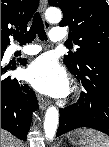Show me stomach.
<instances>
[{
  "mask_svg": "<svg viewBox=\"0 0 109 147\" xmlns=\"http://www.w3.org/2000/svg\"><path fill=\"white\" fill-rule=\"evenodd\" d=\"M89 131V129H78L70 132L67 137L70 141V143L73 146L76 147H88L89 142L88 139L89 137L86 135V133Z\"/></svg>",
  "mask_w": 109,
  "mask_h": 147,
  "instance_id": "stomach-1",
  "label": "stomach"
}]
</instances>
